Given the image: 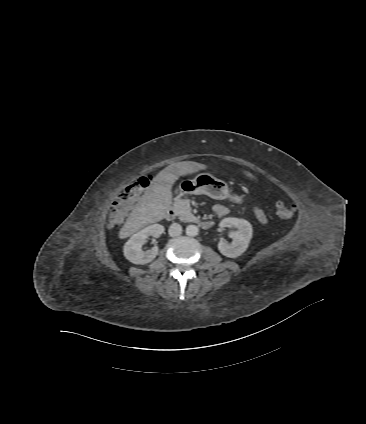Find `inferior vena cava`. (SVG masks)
<instances>
[{
    "instance_id": "obj_1",
    "label": "inferior vena cava",
    "mask_w": 366,
    "mask_h": 424,
    "mask_svg": "<svg viewBox=\"0 0 366 424\" xmlns=\"http://www.w3.org/2000/svg\"><path fill=\"white\" fill-rule=\"evenodd\" d=\"M168 232L172 237L179 236L182 233V226L178 223H173L170 225Z\"/></svg>"
}]
</instances>
